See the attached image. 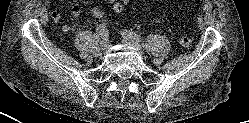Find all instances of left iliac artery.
I'll list each match as a JSON object with an SVG mask.
<instances>
[{"instance_id":"44dca946","label":"left iliac artery","mask_w":249,"mask_h":123,"mask_svg":"<svg viewBox=\"0 0 249 123\" xmlns=\"http://www.w3.org/2000/svg\"><path fill=\"white\" fill-rule=\"evenodd\" d=\"M123 33L128 35L131 38H134V39L138 40V41L142 40V37L140 35H138L137 33H135V32L125 30Z\"/></svg>"}]
</instances>
